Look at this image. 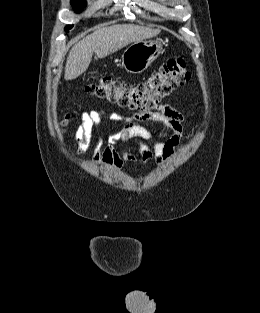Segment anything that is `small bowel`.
<instances>
[{
	"instance_id": "1",
	"label": "small bowel",
	"mask_w": 260,
	"mask_h": 313,
	"mask_svg": "<svg viewBox=\"0 0 260 313\" xmlns=\"http://www.w3.org/2000/svg\"><path fill=\"white\" fill-rule=\"evenodd\" d=\"M114 121H125L126 125L111 131L104 143V117ZM142 122H155L172 131L171 136L159 140ZM187 120L183 113L167 104L157 105L153 110L136 113L133 117H125L117 113L104 114L102 111H84L74 134V142L78 155L87 151L91 137L97 133V149L94 154L95 163L105 169L121 170L124 163L136 164V158L128 153L123 143H134L139 147L141 160L150 167L154 164H165L182 150L185 139L184 130Z\"/></svg>"
}]
</instances>
